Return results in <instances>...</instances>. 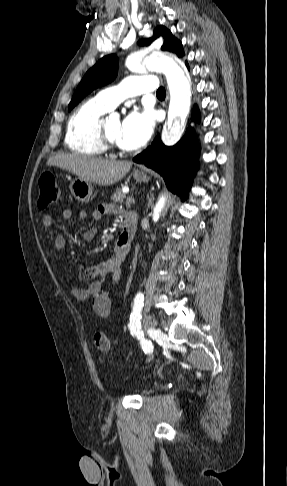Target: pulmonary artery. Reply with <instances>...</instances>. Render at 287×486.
<instances>
[{
    "label": "pulmonary artery",
    "instance_id": "e3ab8cb5",
    "mask_svg": "<svg viewBox=\"0 0 287 486\" xmlns=\"http://www.w3.org/2000/svg\"><path fill=\"white\" fill-rule=\"evenodd\" d=\"M157 87V79L153 75L129 77L116 86L99 91L95 98L108 109H113L128 97L153 92Z\"/></svg>",
    "mask_w": 287,
    "mask_h": 486
}]
</instances>
